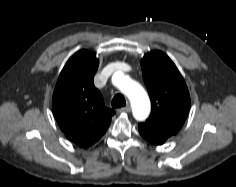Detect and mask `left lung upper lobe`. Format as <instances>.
Wrapping results in <instances>:
<instances>
[{"label":"left lung upper lobe","mask_w":236,"mask_h":187,"mask_svg":"<svg viewBox=\"0 0 236 187\" xmlns=\"http://www.w3.org/2000/svg\"><path fill=\"white\" fill-rule=\"evenodd\" d=\"M141 67L152 110L147 121L139 124V133L150 143L162 145L183 126L190 108L189 92L177 67L163 52L146 54Z\"/></svg>","instance_id":"1"}]
</instances>
